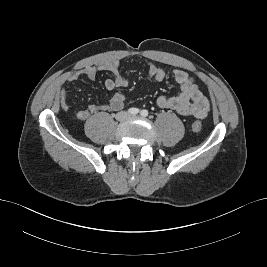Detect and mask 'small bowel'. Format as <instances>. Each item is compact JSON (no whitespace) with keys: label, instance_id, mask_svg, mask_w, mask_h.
Instances as JSON below:
<instances>
[{"label":"small bowel","instance_id":"obj_1","mask_svg":"<svg viewBox=\"0 0 267 267\" xmlns=\"http://www.w3.org/2000/svg\"><path fill=\"white\" fill-rule=\"evenodd\" d=\"M99 71L110 72L113 77L105 80V88L112 91L117 88H126L129 85L128 79L122 74L120 62L112 60L105 62L99 66H88L76 73L67 76V82L76 81L80 76H85L90 80H94ZM171 75L180 87V93L174 97L160 96L157 99V105L160 108L170 109L182 116H194L196 118H205L210 110L208 99L200 91L194 79L186 72L180 69H174ZM147 76L154 82H161L166 76L165 70L153 63L147 66ZM58 101L61 109L67 111L70 108L66 89H61L58 95ZM125 97L121 93H115L105 104H90L86 109H81L76 113V117L80 121L87 120L90 115L102 111H116L123 108Z\"/></svg>","mask_w":267,"mask_h":267}]
</instances>
